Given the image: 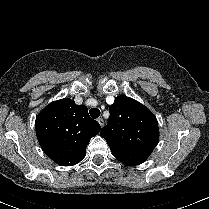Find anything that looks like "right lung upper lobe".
Instances as JSON below:
<instances>
[{
  "mask_svg": "<svg viewBox=\"0 0 209 209\" xmlns=\"http://www.w3.org/2000/svg\"><path fill=\"white\" fill-rule=\"evenodd\" d=\"M38 142L54 162L72 166L86 156L91 137L101 127L90 118L84 105H76L71 99H61L47 105L36 117Z\"/></svg>",
  "mask_w": 209,
  "mask_h": 209,
  "instance_id": "obj_1",
  "label": "right lung upper lobe"
}]
</instances>
